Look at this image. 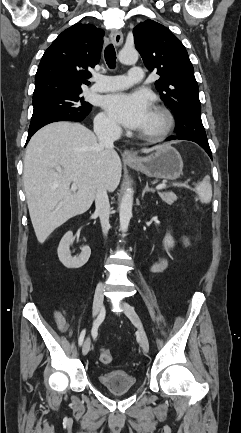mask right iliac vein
<instances>
[{"instance_id": "right-iliac-vein-1", "label": "right iliac vein", "mask_w": 241, "mask_h": 433, "mask_svg": "<svg viewBox=\"0 0 241 433\" xmlns=\"http://www.w3.org/2000/svg\"><path fill=\"white\" fill-rule=\"evenodd\" d=\"M104 285L102 283H99L96 287L95 294H94V300H93V316L96 317L97 314L100 311V308L103 305L104 300ZM90 338L87 337L84 341L83 347H82V354L86 355L90 350Z\"/></svg>"}]
</instances>
